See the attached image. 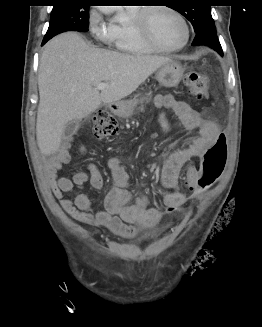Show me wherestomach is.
<instances>
[{
	"mask_svg": "<svg viewBox=\"0 0 262 327\" xmlns=\"http://www.w3.org/2000/svg\"><path fill=\"white\" fill-rule=\"evenodd\" d=\"M183 73V67L178 62L172 61L160 67L156 73V79L162 86L174 87L179 84ZM137 103L136 99L117 102L111 106V111L119 117H130Z\"/></svg>",
	"mask_w": 262,
	"mask_h": 327,
	"instance_id": "obj_1",
	"label": "stomach"
}]
</instances>
